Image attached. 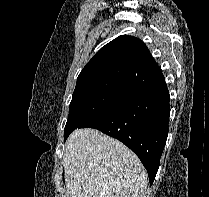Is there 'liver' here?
<instances>
[{
  "mask_svg": "<svg viewBox=\"0 0 209 197\" xmlns=\"http://www.w3.org/2000/svg\"><path fill=\"white\" fill-rule=\"evenodd\" d=\"M65 197H145L148 175L122 142L83 128L65 143Z\"/></svg>",
  "mask_w": 209,
  "mask_h": 197,
  "instance_id": "liver-1",
  "label": "liver"
}]
</instances>
